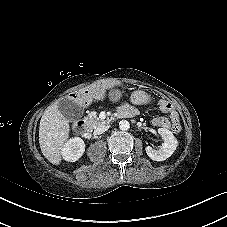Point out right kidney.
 Returning a JSON list of instances; mask_svg holds the SVG:
<instances>
[{"mask_svg": "<svg viewBox=\"0 0 227 227\" xmlns=\"http://www.w3.org/2000/svg\"><path fill=\"white\" fill-rule=\"evenodd\" d=\"M85 151V143L80 137L70 138L62 147L61 154L65 161H77Z\"/></svg>", "mask_w": 227, "mask_h": 227, "instance_id": "1", "label": "right kidney"}]
</instances>
